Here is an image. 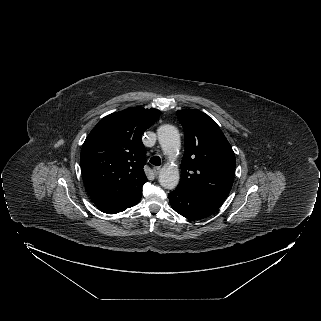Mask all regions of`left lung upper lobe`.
Returning a JSON list of instances; mask_svg holds the SVG:
<instances>
[{"mask_svg": "<svg viewBox=\"0 0 321 321\" xmlns=\"http://www.w3.org/2000/svg\"><path fill=\"white\" fill-rule=\"evenodd\" d=\"M184 128L185 152L177 190L225 200L235 174V154L216 122L196 109L177 111Z\"/></svg>", "mask_w": 321, "mask_h": 321, "instance_id": "obj_1", "label": "left lung upper lobe"}]
</instances>
